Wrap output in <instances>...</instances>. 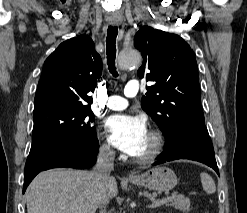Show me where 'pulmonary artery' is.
<instances>
[{
    "label": "pulmonary artery",
    "mask_w": 247,
    "mask_h": 213,
    "mask_svg": "<svg viewBox=\"0 0 247 213\" xmlns=\"http://www.w3.org/2000/svg\"><path fill=\"white\" fill-rule=\"evenodd\" d=\"M139 91L138 82L133 80L130 81L124 89V94L126 97H135ZM128 101L121 96H110L107 98L105 106L112 110H123L127 107Z\"/></svg>",
    "instance_id": "1"
}]
</instances>
